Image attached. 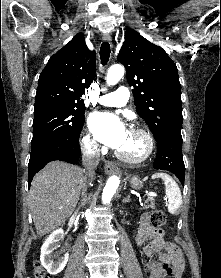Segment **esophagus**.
I'll return each instance as SVG.
<instances>
[{"instance_id":"esophagus-1","label":"esophagus","mask_w":221,"mask_h":278,"mask_svg":"<svg viewBox=\"0 0 221 278\" xmlns=\"http://www.w3.org/2000/svg\"><path fill=\"white\" fill-rule=\"evenodd\" d=\"M103 40L105 42H111L112 38H111L110 34L106 33L103 35ZM118 170H119L118 166L112 162L105 163V165H104V171L108 175L117 173Z\"/></svg>"}]
</instances>
